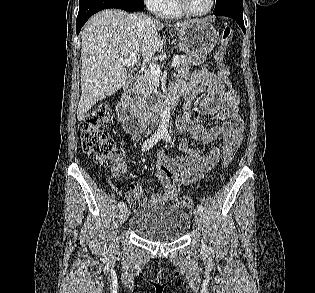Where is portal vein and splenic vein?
<instances>
[{
	"instance_id": "1",
	"label": "portal vein and splenic vein",
	"mask_w": 315,
	"mask_h": 293,
	"mask_svg": "<svg viewBox=\"0 0 315 293\" xmlns=\"http://www.w3.org/2000/svg\"><path fill=\"white\" fill-rule=\"evenodd\" d=\"M120 61L122 62V64L124 66H127V67L139 66V63L137 61L136 51L132 54V56L130 58L120 59ZM179 63H180V60L178 57H176L173 59L171 66L175 67ZM147 72H150L151 75L153 76V78L158 79L160 77V74H161V69H160V66L157 64H150L149 68L147 69Z\"/></svg>"
}]
</instances>
